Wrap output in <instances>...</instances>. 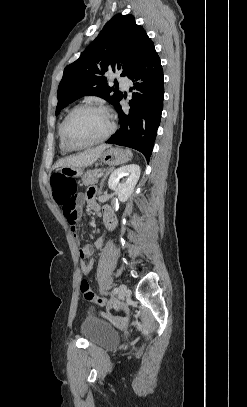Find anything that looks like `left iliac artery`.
Returning a JSON list of instances; mask_svg holds the SVG:
<instances>
[{"label":"left iliac artery","mask_w":247,"mask_h":407,"mask_svg":"<svg viewBox=\"0 0 247 407\" xmlns=\"http://www.w3.org/2000/svg\"><path fill=\"white\" fill-rule=\"evenodd\" d=\"M117 291H118V289H117V288H115V289H114V292H117Z\"/></svg>","instance_id":"left-iliac-artery-1"}]
</instances>
